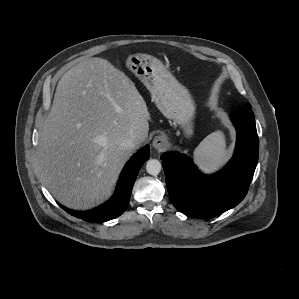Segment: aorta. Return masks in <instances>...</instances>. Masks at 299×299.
Wrapping results in <instances>:
<instances>
[{"label":"aorta","instance_id":"1","mask_svg":"<svg viewBox=\"0 0 299 299\" xmlns=\"http://www.w3.org/2000/svg\"><path fill=\"white\" fill-rule=\"evenodd\" d=\"M162 165L157 159H150L146 163V171L150 175H158L161 171Z\"/></svg>","mask_w":299,"mask_h":299}]
</instances>
